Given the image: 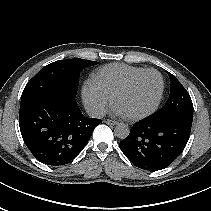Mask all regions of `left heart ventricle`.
<instances>
[{"mask_svg": "<svg viewBox=\"0 0 211 211\" xmlns=\"http://www.w3.org/2000/svg\"><path fill=\"white\" fill-rule=\"evenodd\" d=\"M161 81L156 73L143 75L132 88L120 96L116 104L126 115H136L149 110L156 102Z\"/></svg>", "mask_w": 211, "mask_h": 211, "instance_id": "1", "label": "left heart ventricle"}]
</instances>
